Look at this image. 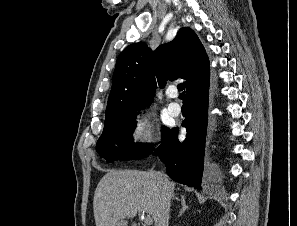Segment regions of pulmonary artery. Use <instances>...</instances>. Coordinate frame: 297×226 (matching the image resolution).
I'll use <instances>...</instances> for the list:
<instances>
[{
  "mask_svg": "<svg viewBox=\"0 0 297 226\" xmlns=\"http://www.w3.org/2000/svg\"><path fill=\"white\" fill-rule=\"evenodd\" d=\"M168 95L173 98L176 96L174 92H169ZM168 111L172 116H178L181 113V106L175 102L170 103L168 105Z\"/></svg>",
  "mask_w": 297,
  "mask_h": 226,
  "instance_id": "pulmonary-artery-1",
  "label": "pulmonary artery"
}]
</instances>
